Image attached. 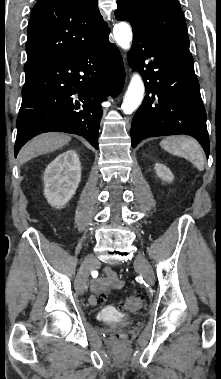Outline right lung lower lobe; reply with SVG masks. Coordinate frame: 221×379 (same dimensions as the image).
Returning a JSON list of instances; mask_svg holds the SVG:
<instances>
[{
    "label": "right lung lower lobe",
    "instance_id": "1",
    "mask_svg": "<svg viewBox=\"0 0 221 379\" xmlns=\"http://www.w3.org/2000/svg\"><path fill=\"white\" fill-rule=\"evenodd\" d=\"M109 33L25 68L15 157L29 139L51 131L83 136L98 149L101 102L109 94L117 96L125 80L121 54L109 42Z\"/></svg>",
    "mask_w": 221,
    "mask_h": 379
}]
</instances>
